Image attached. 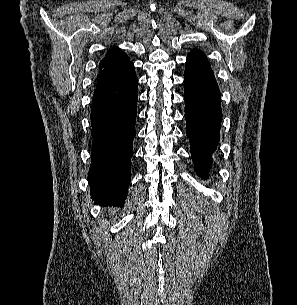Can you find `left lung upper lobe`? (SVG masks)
Masks as SVG:
<instances>
[{
    "label": "left lung upper lobe",
    "instance_id": "5c2ea615",
    "mask_svg": "<svg viewBox=\"0 0 297 305\" xmlns=\"http://www.w3.org/2000/svg\"><path fill=\"white\" fill-rule=\"evenodd\" d=\"M210 65L204 52L199 49H193L187 55L186 67L207 66Z\"/></svg>",
    "mask_w": 297,
    "mask_h": 305
}]
</instances>
